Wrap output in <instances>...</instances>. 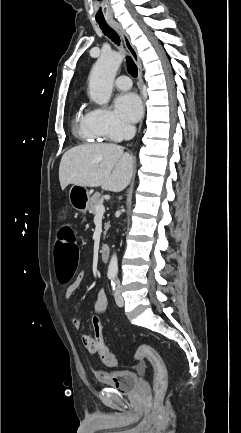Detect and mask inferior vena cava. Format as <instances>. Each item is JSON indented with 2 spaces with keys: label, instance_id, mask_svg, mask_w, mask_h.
<instances>
[{
  "label": "inferior vena cava",
  "instance_id": "obj_1",
  "mask_svg": "<svg viewBox=\"0 0 241 433\" xmlns=\"http://www.w3.org/2000/svg\"><path fill=\"white\" fill-rule=\"evenodd\" d=\"M136 133V128L133 125H125L123 128V134L125 140H131Z\"/></svg>",
  "mask_w": 241,
  "mask_h": 433
}]
</instances>
